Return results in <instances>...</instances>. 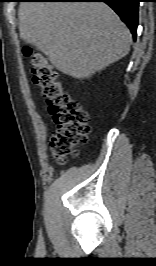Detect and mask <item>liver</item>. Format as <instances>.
Returning <instances> with one entry per match:
<instances>
[{"mask_svg": "<svg viewBox=\"0 0 156 266\" xmlns=\"http://www.w3.org/2000/svg\"><path fill=\"white\" fill-rule=\"evenodd\" d=\"M18 19L21 38L77 79L125 57L132 42L129 29L102 2H22Z\"/></svg>", "mask_w": 156, "mask_h": 266, "instance_id": "6515ba94", "label": "liver"}]
</instances>
